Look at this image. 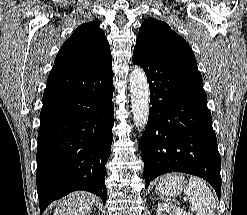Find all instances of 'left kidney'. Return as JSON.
Returning a JSON list of instances; mask_svg holds the SVG:
<instances>
[{
	"label": "left kidney",
	"instance_id": "obj_1",
	"mask_svg": "<svg viewBox=\"0 0 247 215\" xmlns=\"http://www.w3.org/2000/svg\"><path fill=\"white\" fill-rule=\"evenodd\" d=\"M156 214L157 215H190L185 210L170 203L158 204Z\"/></svg>",
	"mask_w": 247,
	"mask_h": 215
}]
</instances>
